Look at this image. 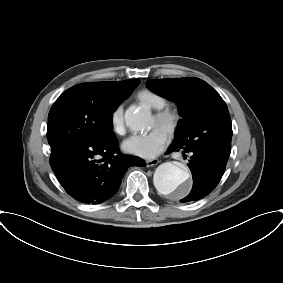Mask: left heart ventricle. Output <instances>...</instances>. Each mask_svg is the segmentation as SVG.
Returning <instances> with one entry per match:
<instances>
[{
	"label": "left heart ventricle",
	"mask_w": 283,
	"mask_h": 283,
	"mask_svg": "<svg viewBox=\"0 0 283 283\" xmlns=\"http://www.w3.org/2000/svg\"><path fill=\"white\" fill-rule=\"evenodd\" d=\"M151 128H159L164 131V127L160 125L154 117L152 118V121H151Z\"/></svg>",
	"instance_id": "obj_1"
}]
</instances>
